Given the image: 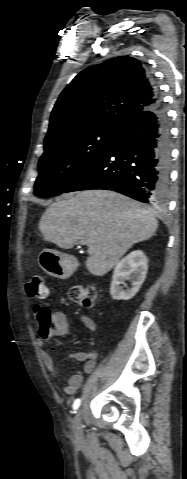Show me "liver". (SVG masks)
Listing matches in <instances>:
<instances>
[{
    "label": "liver",
    "mask_w": 187,
    "mask_h": 479,
    "mask_svg": "<svg viewBox=\"0 0 187 479\" xmlns=\"http://www.w3.org/2000/svg\"><path fill=\"white\" fill-rule=\"evenodd\" d=\"M158 227L153 211L124 195L87 190L57 198L42 215L44 240L63 249L86 241V267L95 276L108 273L136 243L151 238Z\"/></svg>",
    "instance_id": "liver-1"
}]
</instances>
